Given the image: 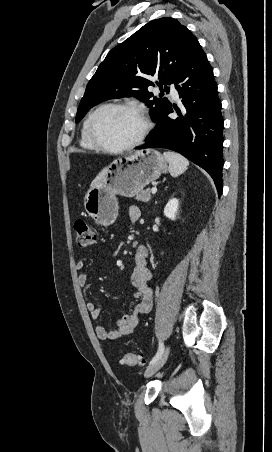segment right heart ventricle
<instances>
[{"label":"right heart ventricle","mask_w":272,"mask_h":452,"mask_svg":"<svg viewBox=\"0 0 272 452\" xmlns=\"http://www.w3.org/2000/svg\"><path fill=\"white\" fill-rule=\"evenodd\" d=\"M90 115H88L86 117V119L84 120L83 124H82V128H81V136H80V146L86 150H97V148L91 143V141L89 140L88 136H87V132H86V124H87V120L89 118Z\"/></svg>","instance_id":"obj_1"}]
</instances>
